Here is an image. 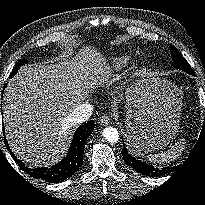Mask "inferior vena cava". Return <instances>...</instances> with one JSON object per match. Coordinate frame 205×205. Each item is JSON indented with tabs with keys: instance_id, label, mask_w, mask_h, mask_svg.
Instances as JSON below:
<instances>
[{
	"instance_id": "inferior-vena-cava-1",
	"label": "inferior vena cava",
	"mask_w": 205,
	"mask_h": 205,
	"mask_svg": "<svg viewBox=\"0 0 205 205\" xmlns=\"http://www.w3.org/2000/svg\"><path fill=\"white\" fill-rule=\"evenodd\" d=\"M93 113V106L90 103L78 105L67 117L69 124L75 125L87 121Z\"/></svg>"
}]
</instances>
